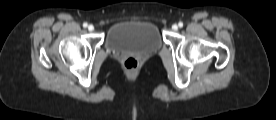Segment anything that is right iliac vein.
Here are the masks:
<instances>
[{
    "label": "right iliac vein",
    "instance_id": "obj_1",
    "mask_svg": "<svg viewBox=\"0 0 276 120\" xmlns=\"http://www.w3.org/2000/svg\"><path fill=\"white\" fill-rule=\"evenodd\" d=\"M88 30L91 31V32L94 31V26L93 25H89L88 26Z\"/></svg>",
    "mask_w": 276,
    "mask_h": 120
}]
</instances>
